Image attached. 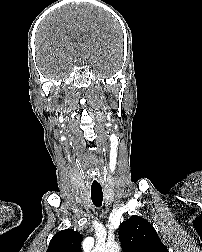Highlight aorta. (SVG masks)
Masks as SVG:
<instances>
[{"mask_svg":"<svg viewBox=\"0 0 202 252\" xmlns=\"http://www.w3.org/2000/svg\"><path fill=\"white\" fill-rule=\"evenodd\" d=\"M92 252H120V246L115 243L97 244Z\"/></svg>","mask_w":202,"mask_h":252,"instance_id":"1","label":"aorta"}]
</instances>
